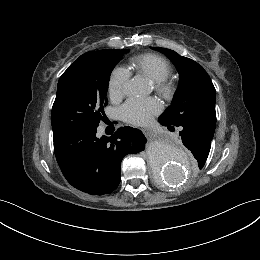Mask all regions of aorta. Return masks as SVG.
Instances as JSON below:
<instances>
[{"instance_id":"aorta-1","label":"aorta","mask_w":260,"mask_h":260,"mask_svg":"<svg viewBox=\"0 0 260 260\" xmlns=\"http://www.w3.org/2000/svg\"><path fill=\"white\" fill-rule=\"evenodd\" d=\"M124 90L127 95L141 96L148 94L150 87L142 78L135 77L125 85ZM147 156L154 176L167 185L180 184L191 173L192 162L188 154L168 139L150 142Z\"/></svg>"}]
</instances>
